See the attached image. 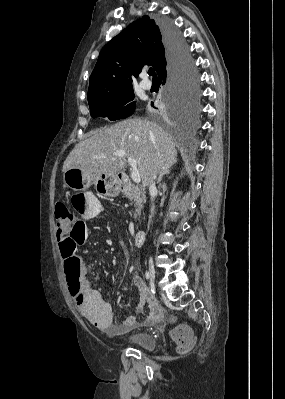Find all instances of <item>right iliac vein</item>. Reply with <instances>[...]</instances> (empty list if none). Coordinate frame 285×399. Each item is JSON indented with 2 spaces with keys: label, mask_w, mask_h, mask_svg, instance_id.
<instances>
[{
  "label": "right iliac vein",
  "mask_w": 285,
  "mask_h": 399,
  "mask_svg": "<svg viewBox=\"0 0 285 399\" xmlns=\"http://www.w3.org/2000/svg\"><path fill=\"white\" fill-rule=\"evenodd\" d=\"M149 276L152 284L154 285L155 282V268H154V262L152 258H149Z\"/></svg>",
  "instance_id": "obj_1"
}]
</instances>
